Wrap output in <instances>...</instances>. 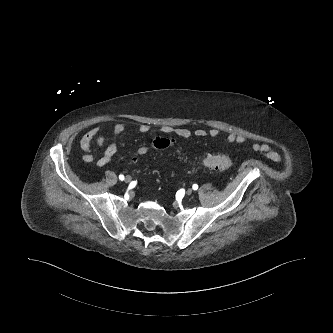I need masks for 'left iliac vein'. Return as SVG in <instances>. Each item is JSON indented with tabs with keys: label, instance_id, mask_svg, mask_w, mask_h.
I'll list each match as a JSON object with an SVG mask.
<instances>
[{
	"label": "left iliac vein",
	"instance_id": "obj_1",
	"mask_svg": "<svg viewBox=\"0 0 333 333\" xmlns=\"http://www.w3.org/2000/svg\"><path fill=\"white\" fill-rule=\"evenodd\" d=\"M192 192H193V191H192V189H191V188H189V189H187V191H186V194H187V195H191V194H192Z\"/></svg>",
	"mask_w": 333,
	"mask_h": 333
}]
</instances>
